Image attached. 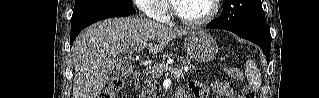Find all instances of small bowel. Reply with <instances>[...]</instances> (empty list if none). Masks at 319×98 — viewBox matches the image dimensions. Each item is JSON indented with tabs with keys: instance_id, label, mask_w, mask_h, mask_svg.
Instances as JSON below:
<instances>
[{
	"instance_id": "c3829d8e",
	"label": "small bowel",
	"mask_w": 319,
	"mask_h": 98,
	"mask_svg": "<svg viewBox=\"0 0 319 98\" xmlns=\"http://www.w3.org/2000/svg\"><path fill=\"white\" fill-rule=\"evenodd\" d=\"M188 88L195 98H211V94H214L218 97L240 98L238 94L233 92L231 86L220 81L214 82L210 86H205L201 83L190 81L188 83Z\"/></svg>"
}]
</instances>
